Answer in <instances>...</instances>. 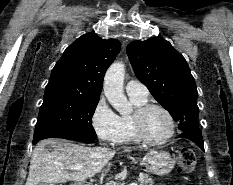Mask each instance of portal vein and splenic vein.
I'll use <instances>...</instances> for the list:
<instances>
[{
	"label": "portal vein and splenic vein",
	"mask_w": 233,
	"mask_h": 185,
	"mask_svg": "<svg viewBox=\"0 0 233 185\" xmlns=\"http://www.w3.org/2000/svg\"><path fill=\"white\" fill-rule=\"evenodd\" d=\"M82 168H83V166H82V165H79V164L74 165V166L71 167V169H73V170H80V169H82ZM109 185H115V183H111V184H109ZM129 185H138V184H137V183H131V184H129Z\"/></svg>",
	"instance_id": "18ae733b"
}]
</instances>
